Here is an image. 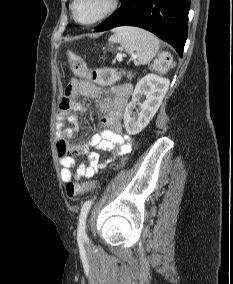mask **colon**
I'll list each match as a JSON object with an SVG mask.
<instances>
[{"label": "colon", "mask_w": 233, "mask_h": 284, "mask_svg": "<svg viewBox=\"0 0 233 284\" xmlns=\"http://www.w3.org/2000/svg\"><path fill=\"white\" fill-rule=\"evenodd\" d=\"M67 62L73 73L81 78H87L99 85H110L117 82L124 75V72L117 68L103 67L90 70L81 56L75 52L69 51L66 55ZM174 64L172 55L167 52H161L153 61L152 68L158 74H164L172 68ZM95 182L84 183L68 182L66 185V194L69 198H75L81 194L93 190Z\"/></svg>", "instance_id": "5ec220e1"}]
</instances>
